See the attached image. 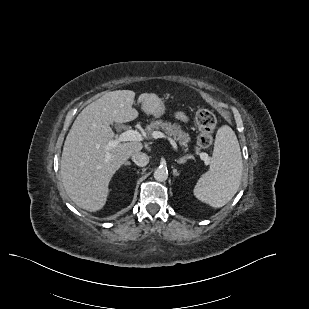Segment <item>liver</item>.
<instances>
[{
    "mask_svg": "<svg viewBox=\"0 0 309 309\" xmlns=\"http://www.w3.org/2000/svg\"><path fill=\"white\" fill-rule=\"evenodd\" d=\"M150 95L141 94L138 103ZM134 98L135 92L131 90L107 92L81 111L66 137L60 162L61 179L70 199L87 211L104 207L111 178L133 153L143 148L140 141L107 148L115 137L110 125L138 117V111L132 108Z\"/></svg>",
    "mask_w": 309,
    "mask_h": 309,
    "instance_id": "obj_1",
    "label": "liver"
}]
</instances>
